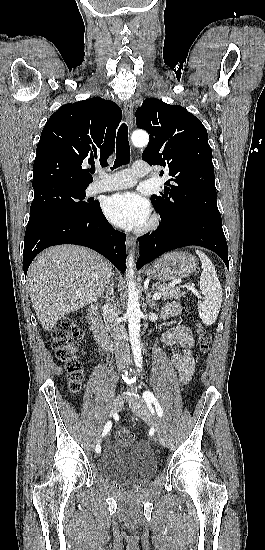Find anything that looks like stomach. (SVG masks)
I'll list each match as a JSON object with an SVG mask.
<instances>
[{"label":"stomach","instance_id":"obj_1","mask_svg":"<svg viewBox=\"0 0 265 550\" xmlns=\"http://www.w3.org/2000/svg\"><path fill=\"white\" fill-rule=\"evenodd\" d=\"M197 267V259L186 252H170L157 259L146 275L158 281H171L189 277Z\"/></svg>","mask_w":265,"mask_h":550}]
</instances>
